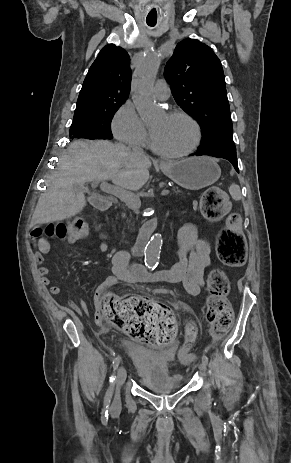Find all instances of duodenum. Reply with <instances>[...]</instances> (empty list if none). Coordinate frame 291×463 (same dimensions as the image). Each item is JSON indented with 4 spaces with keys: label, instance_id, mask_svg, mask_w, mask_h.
<instances>
[{
    "label": "duodenum",
    "instance_id": "obj_1",
    "mask_svg": "<svg viewBox=\"0 0 291 463\" xmlns=\"http://www.w3.org/2000/svg\"><path fill=\"white\" fill-rule=\"evenodd\" d=\"M92 202L100 210H106L110 206V198L106 196H94L92 198ZM155 226H156V221L154 219H150L142 225L139 231L137 241L135 242L133 249H132L134 254L136 255L143 254L144 248L147 243V239L150 233L155 229ZM144 272L147 273L146 275H150L152 273L147 268L144 270Z\"/></svg>",
    "mask_w": 291,
    "mask_h": 463
}]
</instances>
